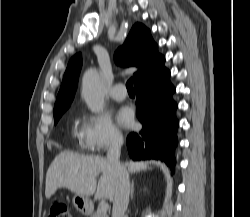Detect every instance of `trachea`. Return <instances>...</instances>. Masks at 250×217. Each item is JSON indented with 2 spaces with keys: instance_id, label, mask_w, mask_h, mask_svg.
I'll use <instances>...</instances> for the list:
<instances>
[{
  "instance_id": "trachea-1",
  "label": "trachea",
  "mask_w": 250,
  "mask_h": 217,
  "mask_svg": "<svg viewBox=\"0 0 250 217\" xmlns=\"http://www.w3.org/2000/svg\"><path fill=\"white\" fill-rule=\"evenodd\" d=\"M126 88L128 92H134V88H133V79L130 78L127 83H126Z\"/></svg>"
}]
</instances>
